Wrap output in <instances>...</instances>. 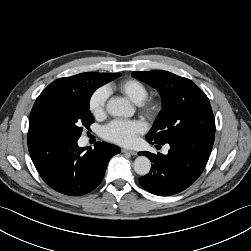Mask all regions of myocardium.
Listing matches in <instances>:
<instances>
[{
  "label": "myocardium",
  "mask_w": 251,
  "mask_h": 251,
  "mask_svg": "<svg viewBox=\"0 0 251 251\" xmlns=\"http://www.w3.org/2000/svg\"><path fill=\"white\" fill-rule=\"evenodd\" d=\"M140 111L147 118H155L161 111V103L158 100L146 98L138 104Z\"/></svg>",
  "instance_id": "1"
}]
</instances>
